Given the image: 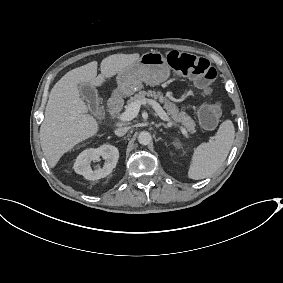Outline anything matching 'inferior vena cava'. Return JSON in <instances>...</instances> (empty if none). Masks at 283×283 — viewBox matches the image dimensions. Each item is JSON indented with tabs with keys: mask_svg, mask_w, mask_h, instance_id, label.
Wrapping results in <instances>:
<instances>
[{
	"mask_svg": "<svg viewBox=\"0 0 283 283\" xmlns=\"http://www.w3.org/2000/svg\"><path fill=\"white\" fill-rule=\"evenodd\" d=\"M129 128L128 127H122V128H117L114 133L117 136H124L128 132Z\"/></svg>",
	"mask_w": 283,
	"mask_h": 283,
	"instance_id": "inferior-vena-cava-1",
	"label": "inferior vena cava"
}]
</instances>
